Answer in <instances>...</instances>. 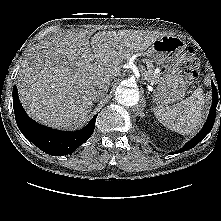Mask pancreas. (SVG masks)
<instances>
[{"mask_svg": "<svg viewBox=\"0 0 221 221\" xmlns=\"http://www.w3.org/2000/svg\"><path fill=\"white\" fill-rule=\"evenodd\" d=\"M141 72L142 75H144L145 79L152 83V84H156L159 80V74H155L154 73V67L152 65V63L147 61V69H145L143 66L141 67Z\"/></svg>", "mask_w": 221, "mask_h": 221, "instance_id": "cf45deb5", "label": "pancreas"}]
</instances>
